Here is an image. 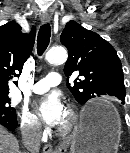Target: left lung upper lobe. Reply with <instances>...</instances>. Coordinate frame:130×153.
Masks as SVG:
<instances>
[{"instance_id": "1", "label": "left lung upper lobe", "mask_w": 130, "mask_h": 153, "mask_svg": "<svg viewBox=\"0 0 130 153\" xmlns=\"http://www.w3.org/2000/svg\"><path fill=\"white\" fill-rule=\"evenodd\" d=\"M60 40L69 52L65 75L69 79L73 72H79L81 76L73 86L67 79V87L79 103L95 101L100 96L125 100L122 64L110 43L73 20L66 24Z\"/></svg>"}]
</instances>
